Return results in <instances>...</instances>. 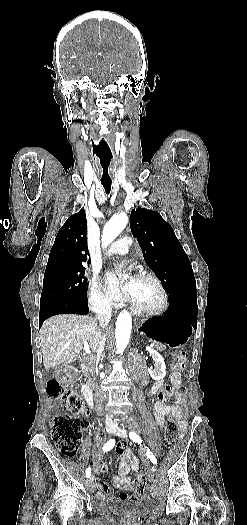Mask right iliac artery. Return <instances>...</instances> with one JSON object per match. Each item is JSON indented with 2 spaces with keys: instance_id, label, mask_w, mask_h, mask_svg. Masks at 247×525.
<instances>
[{
  "instance_id": "obj_1",
  "label": "right iliac artery",
  "mask_w": 247,
  "mask_h": 525,
  "mask_svg": "<svg viewBox=\"0 0 247 525\" xmlns=\"http://www.w3.org/2000/svg\"><path fill=\"white\" fill-rule=\"evenodd\" d=\"M115 445V441L114 439H110L109 441H107V443L103 446V451H109L111 450ZM91 476V469L90 467H88L86 469V477H90Z\"/></svg>"
}]
</instances>
